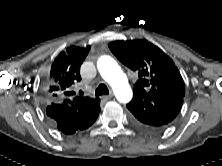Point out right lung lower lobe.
I'll return each instance as SVG.
<instances>
[{"mask_svg": "<svg viewBox=\"0 0 222 166\" xmlns=\"http://www.w3.org/2000/svg\"><path fill=\"white\" fill-rule=\"evenodd\" d=\"M94 111L86 117H78L72 102L64 100L61 102H50L46 108V114L51 124L65 134H73L77 130H84L91 126L100 112V99Z\"/></svg>", "mask_w": 222, "mask_h": 166, "instance_id": "obj_1", "label": "right lung lower lobe"}]
</instances>
